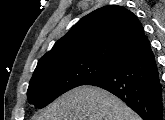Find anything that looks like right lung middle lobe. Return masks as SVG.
Returning <instances> with one entry per match:
<instances>
[{"mask_svg": "<svg viewBox=\"0 0 165 120\" xmlns=\"http://www.w3.org/2000/svg\"><path fill=\"white\" fill-rule=\"evenodd\" d=\"M118 64L70 58L37 65L28 88V101L43 108L63 93L109 73Z\"/></svg>", "mask_w": 165, "mask_h": 120, "instance_id": "right-lung-middle-lobe-1", "label": "right lung middle lobe"}]
</instances>
